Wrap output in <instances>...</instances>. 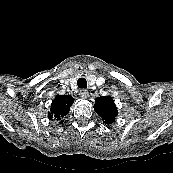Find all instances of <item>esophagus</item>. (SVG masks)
<instances>
[{
  "label": "esophagus",
  "instance_id": "1",
  "mask_svg": "<svg viewBox=\"0 0 173 173\" xmlns=\"http://www.w3.org/2000/svg\"><path fill=\"white\" fill-rule=\"evenodd\" d=\"M79 95H80V97H81L82 99H86V98H88L89 93H88L87 90H81L80 93H79Z\"/></svg>",
  "mask_w": 173,
  "mask_h": 173
}]
</instances>
